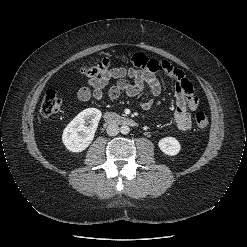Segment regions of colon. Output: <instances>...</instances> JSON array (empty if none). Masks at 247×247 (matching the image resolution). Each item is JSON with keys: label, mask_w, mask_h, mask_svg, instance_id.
Returning a JSON list of instances; mask_svg holds the SVG:
<instances>
[{"label": "colon", "mask_w": 247, "mask_h": 247, "mask_svg": "<svg viewBox=\"0 0 247 247\" xmlns=\"http://www.w3.org/2000/svg\"><path fill=\"white\" fill-rule=\"evenodd\" d=\"M113 61L110 58H103L99 61L92 62L83 68V73L89 77H94L96 75L102 74L108 71L112 66ZM62 106L61 99L53 90H49L45 93L41 106L40 114L41 116L47 118L55 113H57ZM195 124L199 129H205L209 125L208 117L203 112H198L195 115Z\"/></svg>", "instance_id": "obj_1"}]
</instances>
